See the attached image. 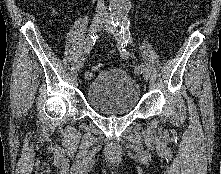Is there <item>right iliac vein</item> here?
Returning a JSON list of instances; mask_svg holds the SVG:
<instances>
[{
	"mask_svg": "<svg viewBox=\"0 0 221 174\" xmlns=\"http://www.w3.org/2000/svg\"><path fill=\"white\" fill-rule=\"evenodd\" d=\"M105 23V20L101 19V18H95L93 19L90 28H89V34L92 35L94 33H96ZM84 59L81 58L79 61V66L82 68L84 66Z\"/></svg>",
	"mask_w": 221,
	"mask_h": 174,
	"instance_id": "obj_1",
	"label": "right iliac vein"
}]
</instances>
